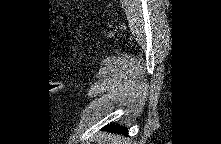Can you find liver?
Here are the masks:
<instances>
[{"instance_id": "liver-1", "label": "liver", "mask_w": 221, "mask_h": 144, "mask_svg": "<svg viewBox=\"0 0 221 144\" xmlns=\"http://www.w3.org/2000/svg\"><path fill=\"white\" fill-rule=\"evenodd\" d=\"M100 144H126L125 140L120 135H107L104 138L97 140Z\"/></svg>"}]
</instances>
